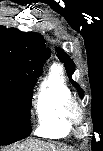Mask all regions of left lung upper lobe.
Instances as JSON below:
<instances>
[{
  "label": "left lung upper lobe",
  "mask_w": 103,
  "mask_h": 151,
  "mask_svg": "<svg viewBox=\"0 0 103 151\" xmlns=\"http://www.w3.org/2000/svg\"><path fill=\"white\" fill-rule=\"evenodd\" d=\"M56 51H57V56L60 59V61L65 64V68H66L68 76L71 77V75L75 71V65H74L73 61L70 59V57L67 55V53H65L62 49L56 48ZM70 80L74 86H77L76 82H74L72 79H70ZM78 90L80 92V96L83 97L82 89L80 87H78Z\"/></svg>",
  "instance_id": "1"
}]
</instances>
